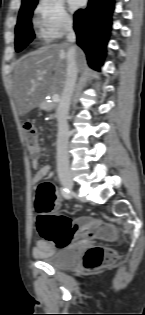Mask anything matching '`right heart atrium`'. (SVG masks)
I'll use <instances>...</instances> for the list:
<instances>
[{"mask_svg":"<svg viewBox=\"0 0 145 315\" xmlns=\"http://www.w3.org/2000/svg\"><path fill=\"white\" fill-rule=\"evenodd\" d=\"M34 15L41 34L47 38H60L72 29V18L62 0H39Z\"/></svg>","mask_w":145,"mask_h":315,"instance_id":"d8ad5b80","label":"right heart atrium"}]
</instances>
